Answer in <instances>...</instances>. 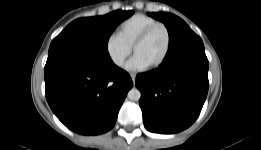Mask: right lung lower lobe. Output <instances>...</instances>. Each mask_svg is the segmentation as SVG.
<instances>
[{
  "label": "right lung lower lobe",
  "instance_id": "right-lung-lower-lobe-1",
  "mask_svg": "<svg viewBox=\"0 0 261 150\" xmlns=\"http://www.w3.org/2000/svg\"><path fill=\"white\" fill-rule=\"evenodd\" d=\"M44 74L52 111L66 127L83 135L109 131L133 85L111 58L57 55L47 59Z\"/></svg>",
  "mask_w": 261,
  "mask_h": 150
}]
</instances>
